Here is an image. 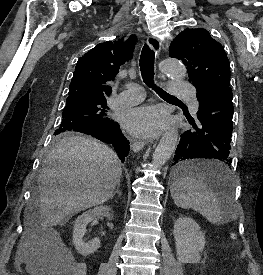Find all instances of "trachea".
<instances>
[{
	"label": "trachea",
	"instance_id": "trachea-1",
	"mask_svg": "<svg viewBox=\"0 0 263 275\" xmlns=\"http://www.w3.org/2000/svg\"><path fill=\"white\" fill-rule=\"evenodd\" d=\"M154 51L145 44L140 55V71L144 83L155 90V92L164 99H177L175 96H172L165 92L162 88L157 87L154 84Z\"/></svg>",
	"mask_w": 263,
	"mask_h": 275
}]
</instances>
